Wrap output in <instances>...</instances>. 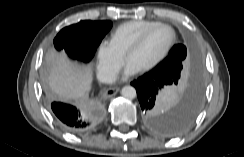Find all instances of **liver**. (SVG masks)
<instances>
[{
	"instance_id": "1",
	"label": "liver",
	"mask_w": 244,
	"mask_h": 157,
	"mask_svg": "<svg viewBox=\"0 0 244 157\" xmlns=\"http://www.w3.org/2000/svg\"><path fill=\"white\" fill-rule=\"evenodd\" d=\"M51 64L48 82L55 93L62 100H81L86 97L91 88V67H81L68 61L64 54L51 52L47 56Z\"/></svg>"
}]
</instances>
